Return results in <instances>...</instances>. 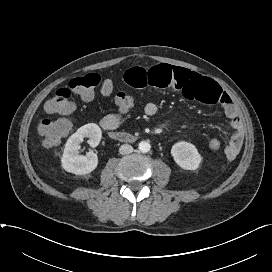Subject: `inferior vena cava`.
Returning a JSON list of instances; mask_svg holds the SVG:
<instances>
[{
	"label": "inferior vena cava",
	"mask_w": 272,
	"mask_h": 272,
	"mask_svg": "<svg viewBox=\"0 0 272 272\" xmlns=\"http://www.w3.org/2000/svg\"><path fill=\"white\" fill-rule=\"evenodd\" d=\"M119 152L122 155L130 154V153L133 152V147L131 145H129V144H123V145L120 146Z\"/></svg>",
	"instance_id": "inferior-vena-cava-1"
}]
</instances>
